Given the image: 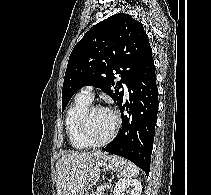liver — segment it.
Segmentation results:
<instances>
[{"mask_svg":"<svg viewBox=\"0 0 211 195\" xmlns=\"http://www.w3.org/2000/svg\"><path fill=\"white\" fill-rule=\"evenodd\" d=\"M105 152H71L58 162V195H82L93 184H89L90 173L99 165Z\"/></svg>","mask_w":211,"mask_h":195,"instance_id":"obj_1","label":"liver"}]
</instances>
